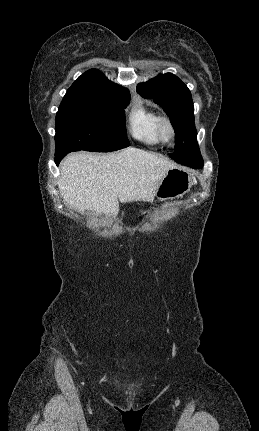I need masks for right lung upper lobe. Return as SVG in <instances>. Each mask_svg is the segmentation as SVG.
Listing matches in <instances>:
<instances>
[{"mask_svg":"<svg viewBox=\"0 0 259 431\" xmlns=\"http://www.w3.org/2000/svg\"><path fill=\"white\" fill-rule=\"evenodd\" d=\"M128 94L129 91L122 86L108 80L97 69H90L82 74L68 89L65 96L94 98L110 94Z\"/></svg>","mask_w":259,"mask_h":431,"instance_id":"obj_1","label":"right lung upper lobe"}]
</instances>
